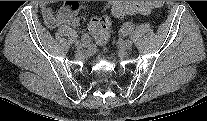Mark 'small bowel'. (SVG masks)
I'll return each mask as SVG.
<instances>
[{
    "mask_svg": "<svg viewBox=\"0 0 207 121\" xmlns=\"http://www.w3.org/2000/svg\"><path fill=\"white\" fill-rule=\"evenodd\" d=\"M115 2H110L109 6L112 7ZM52 3V1H43L40 5L43 20L49 28L76 27L79 24V13L84 7L78 1H65L57 11L52 9Z\"/></svg>",
    "mask_w": 207,
    "mask_h": 121,
    "instance_id": "1",
    "label": "small bowel"
}]
</instances>
